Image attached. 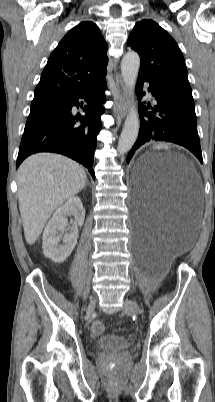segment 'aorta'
Instances as JSON below:
<instances>
[{
	"label": "aorta",
	"instance_id": "aorta-1",
	"mask_svg": "<svg viewBox=\"0 0 215 402\" xmlns=\"http://www.w3.org/2000/svg\"><path fill=\"white\" fill-rule=\"evenodd\" d=\"M140 67V57L136 52H127L121 62V74L131 98V107L126 117L123 130L118 141V152L124 154L134 145L140 127L138 110L134 102L135 86Z\"/></svg>",
	"mask_w": 215,
	"mask_h": 402
}]
</instances>
